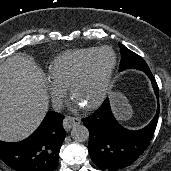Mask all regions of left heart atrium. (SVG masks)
<instances>
[{"mask_svg": "<svg viewBox=\"0 0 171 171\" xmlns=\"http://www.w3.org/2000/svg\"><path fill=\"white\" fill-rule=\"evenodd\" d=\"M82 107H83V105L78 100H76L75 98L72 99L71 108L73 110H79Z\"/></svg>", "mask_w": 171, "mask_h": 171, "instance_id": "39dd6f15", "label": "left heart atrium"}]
</instances>
